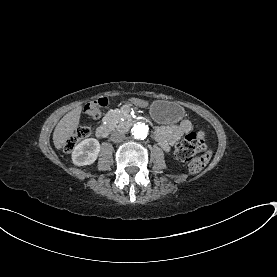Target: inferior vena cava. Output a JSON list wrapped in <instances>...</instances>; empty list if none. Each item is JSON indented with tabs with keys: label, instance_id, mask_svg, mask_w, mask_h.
I'll use <instances>...</instances> for the list:
<instances>
[{
	"label": "inferior vena cava",
	"instance_id": "inferior-vena-cava-1",
	"mask_svg": "<svg viewBox=\"0 0 277 277\" xmlns=\"http://www.w3.org/2000/svg\"><path fill=\"white\" fill-rule=\"evenodd\" d=\"M110 140L112 142H121L125 140V136L119 132H112L110 135Z\"/></svg>",
	"mask_w": 277,
	"mask_h": 277
}]
</instances>
